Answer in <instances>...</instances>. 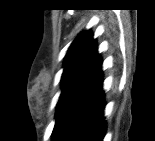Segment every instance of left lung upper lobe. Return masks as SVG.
<instances>
[{
  "instance_id": "1",
  "label": "left lung upper lobe",
  "mask_w": 155,
  "mask_h": 141,
  "mask_svg": "<svg viewBox=\"0 0 155 141\" xmlns=\"http://www.w3.org/2000/svg\"><path fill=\"white\" fill-rule=\"evenodd\" d=\"M102 64L96 40L89 30L80 33L72 42L64 60L61 78L62 92L55 114L52 139L57 141L64 118L71 105L88 86Z\"/></svg>"
}]
</instances>
